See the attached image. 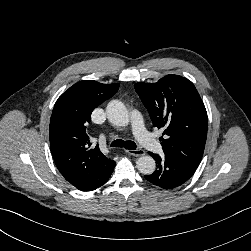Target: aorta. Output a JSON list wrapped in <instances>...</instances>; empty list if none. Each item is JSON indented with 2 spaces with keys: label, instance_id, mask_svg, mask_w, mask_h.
Masks as SVG:
<instances>
[{
  "label": "aorta",
  "instance_id": "aorta-1",
  "mask_svg": "<svg viewBox=\"0 0 251 251\" xmlns=\"http://www.w3.org/2000/svg\"><path fill=\"white\" fill-rule=\"evenodd\" d=\"M107 117L110 123L117 126H126L129 123V113L126 106L119 100H112L106 108ZM137 169L144 175H151L156 168L155 160L149 156L138 158Z\"/></svg>",
  "mask_w": 251,
  "mask_h": 251
}]
</instances>
